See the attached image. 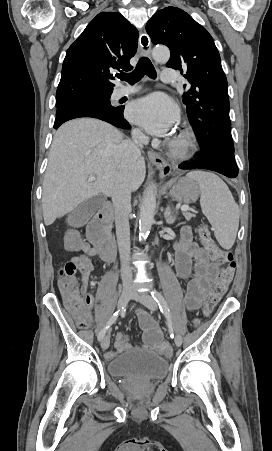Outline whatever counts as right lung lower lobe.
Wrapping results in <instances>:
<instances>
[{
    "instance_id": "obj_1",
    "label": "right lung lower lobe",
    "mask_w": 272,
    "mask_h": 451,
    "mask_svg": "<svg viewBox=\"0 0 272 451\" xmlns=\"http://www.w3.org/2000/svg\"><path fill=\"white\" fill-rule=\"evenodd\" d=\"M80 117H92L97 118L103 121H106L116 127L120 128H129L128 122L123 118V108L120 107V110L112 113L107 114L104 112H99L97 110L88 109V108H81V109H75L68 111L60 116H57L54 123V128L57 129L61 124L64 122L80 118Z\"/></svg>"
}]
</instances>
